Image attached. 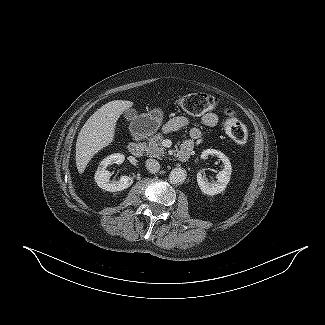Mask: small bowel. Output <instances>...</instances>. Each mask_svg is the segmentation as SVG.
Segmentation results:
<instances>
[{
    "mask_svg": "<svg viewBox=\"0 0 325 325\" xmlns=\"http://www.w3.org/2000/svg\"><path fill=\"white\" fill-rule=\"evenodd\" d=\"M201 122L204 126L212 128L218 124L219 118L217 114L213 112H209L202 116ZM188 124H189V120L186 117L178 116L169 120L165 124L164 130L167 132L177 131L186 127ZM201 136H202L201 130L197 127H194L190 130L189 139L186 140L184 144L191 145L194 148L195 142L198 141L201 138Z\"/></svg>",
    "mask_w": 325,
    "mask_h": 325,
    "instance_id": "obj_1",
    "label": "small bowel"
}]
</instances>
